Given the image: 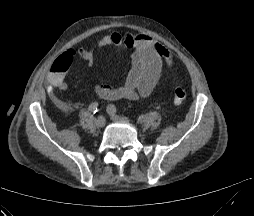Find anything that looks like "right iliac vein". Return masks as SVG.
Wrapping results in <instances>:
<instances>
[{
  "label": "right iliac vein",
  "mask_w": 254,
  "mask_h": 216,
  "mask_svg": "<svg viewBox=\"0 0 254 216\" xmlns=\"http://www.w3.org/2000/svg\"><path fill=\"white\" fill-rule=\"evenodd\" d=\"M105 124H106V119H105L104 116H98V117L96 118V120H95V125H96V127L102 128V127L105 126Z\"/></svg>",
  "instance_id": "right-iliac-vein-1"
}]
</instances>
